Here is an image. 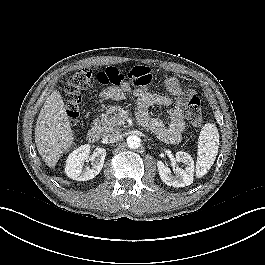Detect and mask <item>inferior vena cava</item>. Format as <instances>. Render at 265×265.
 Masks as SVG:
<instances>
[{"instance_id":"1","label":"inferior vena cava","mask_w":265,"mask_h":265,"mask_svg":"<svg viewBox=\"0 0 265 265\" xmlns=\"http://www.w3.org/2000/svg\"><path fill=\"white\" fill-rule=\"evenodd\" d=\"M120 138H121L120 134H118V133H110V134H107L104 137V141L107 142V143H115V142L119 141Z\"/></svg>"}]
</instances>
